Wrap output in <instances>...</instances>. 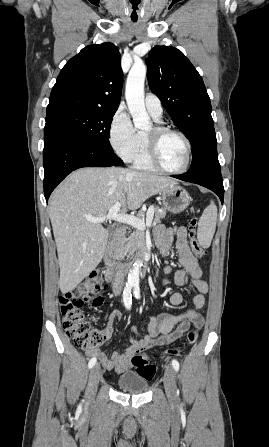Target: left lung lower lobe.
I'll return each mask as SVG.
<instances>
[{"mask_svg": "<svg viewBox=\"0 0 269 447\" xmlns=\"http://www.w3.org/2000/svg\"><path fill=\"white\" fill-rule=\"evenodd\" d=\"M180 180L192 182L204 186L215 192L223 203L224 187L221 172L211 173L200 177H189L186 174L174 176Z\"/></svg>", "mask_w": 269, "mask_h": 447, "instance_id": "0a47b994", "label": "left lung lower lobe"}]
</instances>
